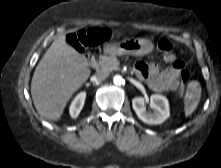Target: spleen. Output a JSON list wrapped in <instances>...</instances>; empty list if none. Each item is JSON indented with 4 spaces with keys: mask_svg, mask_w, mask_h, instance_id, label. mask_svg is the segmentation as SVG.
I'll use <instances>...</instances> for the list:
<instances>
[{
    "mask_svg": "<svg viewBox=\"0 0 221 168\" xmlns=\"http://www.w3.org/2000/svg\"><path fill=\"white\" fill-rule=\"evenodd\" d=\"M201 95V86L198 81H192L188 85V89L185 97V116H190L197 108Z\"/></svg>",
    "mask_w": 221,
    "mask_h": 168,
    "instance_id": "1",
    "label": "spleen"
}]
</instances>
